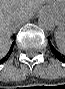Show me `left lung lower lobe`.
I'll return each instance as SVG.
<instances>
[{"mask_svg":"<svg viewBox=\"0 0 65 89\" xmlns=\"http://www.w3.org/2000/svg\"><path fill=\"white\" fill-rule=\"evenodd\" d=\"M48 43L50 45L51 51L53 54L57 57L58 60L62 61L65 63V56L61 55L59 52H57L54 47L51 46L50 40L48 39Z\"/></svg>","mask_w":65,"mask_h":89,"instance_id":"left-lung-lower-lobe-1","label":"left lung lower lobe"}]
</instances>
